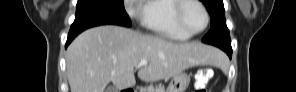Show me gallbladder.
I'll return each mask as SVG.
<instances>
[{
    "label": "gallbladder",
    "mask_w": 296,
    "mask_h": 92,
    "mask_svg": "<svg viewBox=\"0 0 296 92\" xmlns=\"http://www.w3.org/2000/svg\"><path fill=\"white\" fill-rule=\"evenodd\" d=\"M106 92H117V89L114 86H110L107 88Z\"/></svg>",
    "instance_id": "gallbladder-1"
}]
</instances>
